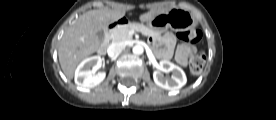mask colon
<instances>
[{"label":"colon","mask_w":276,"mask_h":120,"mask_svg":"<svg viewBox=\"0 0 276 120\" xmlns=\"http://www.w3.org/2000/svg\"><path fill=\"white\" fill-rule=\"evenodd\" d=\"M181 42L195 44L202 38V33L198 29H191L177 34ZM206 62V52L204 48H199L190 60L189 70L192 75L202 72Z\"/></svg>","instance_id":"1"}]
</instances>
